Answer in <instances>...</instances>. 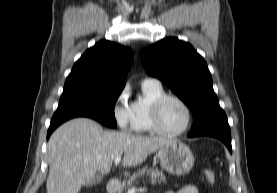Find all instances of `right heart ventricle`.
Masks as SVG:
<instances>
[{
    "mask_svg": "<svg viewBox=\"0 0 277 193\" xmlns=\"http://www.w3.org/2000/svg\"><path fill=\"white\" fill-rule=\"evenodd\" d=\"M165 94L161 85L142 84V97L130 105L131 128L137 133H153L150 121V107L155 99Z\"/></svg>",
    "mask_w": 277,
    "mask_h": 193,
    "instance_id": "1",
    "label": "right heart ventricle"
}]
</instances>
